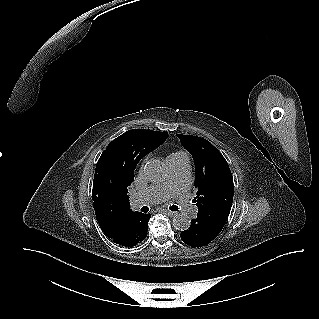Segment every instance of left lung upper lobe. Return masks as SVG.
Returning <instances> with one entry per match:
<instances>
[{
  "instance_id": "5c2ea615",
  "label": "left lung upper lobe",
  "mask_w": 319,
  "mask_h": 319,
  "mask_svg": "<svg viewBox=\"0 0 319 319\" xmlns=\"http://www.w3.org/2000/svg\"><path fill=\"white\" fill-rule=\"evenodd\" d=\"M191 153L196 167L194 199L198 210H231L233 177L223 155L209 141L193 135H177Z\"/></svg>"
}]
</instances>
